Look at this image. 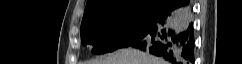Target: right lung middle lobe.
<instances>
[{
    "instance_id": "1",
    "label": "right lung middle lobe",
    "mask_w": 242,
    "mask_h": 64,
    "mask_svg": "<svg viewBox=\"0 0 242 64\" xmlns=\"http://www.w3.org/2000/svg\"><path fill=\"white\" fill-rule=\"evenodd\" d=\"M159 11L137 8L94 17L81 24V42L94 54L130 46L157 21Z\"/></svg>"
}]
</instances>
